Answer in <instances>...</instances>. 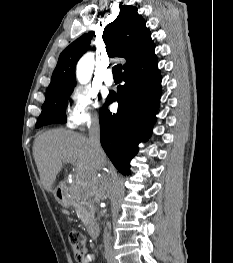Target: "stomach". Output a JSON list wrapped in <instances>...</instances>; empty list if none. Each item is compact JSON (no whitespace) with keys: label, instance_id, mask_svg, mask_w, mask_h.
I'll list each match as a JSON object with an SVG mask.
<instances>
[{"label":"stomach","instance_id":"1","mask_svg":"<svg viewBox=\"0 0 233 263\" xmlns=\"http://www.w3.org/2000/svg\"><path fill=\"white\" fill-rule=\"evenodd\" d=\"M56 200L62 205V206H68L69 205V200L68 197L66 196L64 192V188L59 186L55 191H54Z\"/></svg>","mask_w":233,"mask_h":263}]
</instances>
